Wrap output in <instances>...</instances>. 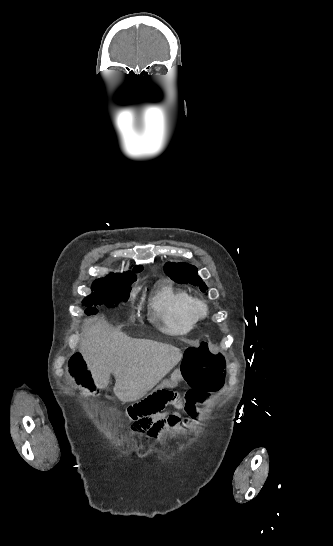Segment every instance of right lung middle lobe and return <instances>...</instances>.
<instances>
[{"instance_id": "dd1d6c3e", "label": "right lung middle lobe", "mask_w": 333, "mask_h": 546, "mask_svg": "<svg viewBox=\"0 0 333 546\" xmlns=\"http://www.w3.org/2000/svg\"><path fill=\"white\" fill-rule=\"evenodd\" d=\"M136 279L137 277L135 274L129 275L127 273H112L105 278H99L93 282L91 288L93 292L84 298L83 304L86 307L97 304L114 307L115 304H118L121 301L125 302L127 301L131 290V284L135 282ZM91 309L92 307L87 308L86 313L88 315L92 314L90 312Z\"/></svg>"}]
</instances>
